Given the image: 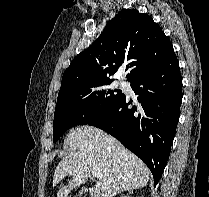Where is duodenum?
<instances>
[{
    "instance_id": "1",
    "label": "duodenum",
    "mask_w": 209,
    "mask_h": 197,
    "mask_svg": "<svg viewBox=\"0 0 209 197\" xmlns=\"http://www.w3.org/2000/svg\"><path fill=\"white\" fill-rule=\"evenodd\" d=\"M89 196L90 197H98L97 194L95 192H93L92 190L89 191Z\"/></svg>"
}]
</instances>
